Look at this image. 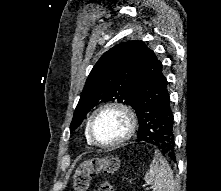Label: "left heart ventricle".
Masks as SVG:
<instances>
[{
    "mask_svg": "<svg viewBox=\"0 0 221 191\" xmlns=\"http://www.w3.org/2000/svg\"><path fill=\"white\" fill-rule=\"evenodd\" d=\"M126 121L116 111L101 113L94 124V136L101 143H109L119 139L125 132Z\"/></svg>",
    "mask_w": 221,
    "mask_h": 191,
    "instance_id": "left-heart-ventricle-1",
    "label": "left heart ventricle"
}]
</instances>
